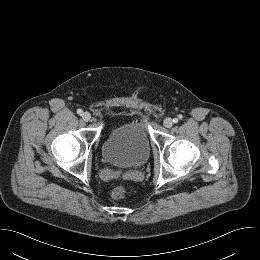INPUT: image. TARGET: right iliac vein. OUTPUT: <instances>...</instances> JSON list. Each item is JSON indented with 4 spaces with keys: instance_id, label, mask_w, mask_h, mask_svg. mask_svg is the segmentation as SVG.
I'll return each instance as SVG.
<instances>
[{
    "instance_id": "1",
    "label": "right iliac vein",
    "mask_w": 260,
    "mask_h": 260,
    "mask_svg": "<svg viewBox=\"0 0 260 260\" xmlns=\"http://www.w3.org/2000/svg\"><path fill=\"white\" fill-rule=\"evenodd\" d=\"M82 118L84 121H89L91 119V114L89 112H84Z\"/></svg>"
}]
</instances>
